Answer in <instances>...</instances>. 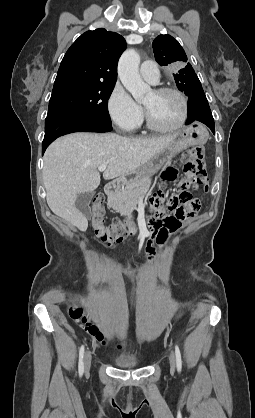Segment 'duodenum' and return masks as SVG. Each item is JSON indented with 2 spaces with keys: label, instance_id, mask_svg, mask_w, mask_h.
I'll use <instances>...</instances> for the list:
<instances>
[{
  "label": "duodenum",
  "instance_id": "duodenum-1",
  "mask_svg": "<svg viewBox=\"0 0 255 418\" xmlns=\"http://www.w3.org/2000/svg\"><path fill=\"white\" fill-rule=\"evenodd\" d=\"M121 186H122L121 181H114V182L108 183L105 186V193L107 194V196H113L120 189ZM125 232L128 236H134L138 233V227L135 223L130 222L126 226Z\"/></svg>",
  "mask_w": 255,
  "mask_h": 418
}]
</instances>
